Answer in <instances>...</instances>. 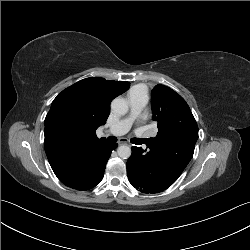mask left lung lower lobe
<instances>
[{"mask_svg":"<svg viewBox=\"0 0 250 250\" xmlns=\"http://www.w3.org/2000/svg\"><path fill=\"white\" fill-rule=\"evenodd\" d=\"M146 146L145 150L131 148L127 174L134 188L151 194L164 191L178 179L191 160L195 147L179 150V145L172 142L159 146L149 142Z\"/></svg>","mask_w":250,"mask_h":250,"instance_id":"obj_1","label":"left lung lower lobe"}]
</instances>
